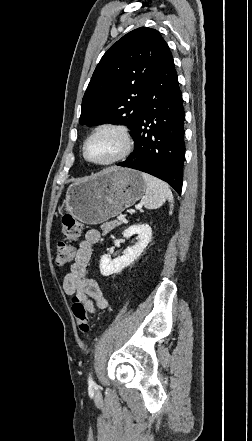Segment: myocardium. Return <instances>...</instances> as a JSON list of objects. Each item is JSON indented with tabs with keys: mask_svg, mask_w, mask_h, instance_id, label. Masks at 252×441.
Wrapping results in <instances>:
<instances>
[{
	"mask_svg": "<svg viewBox=\"0 0 252 441\" xmlns=\"http://www.w3.org/2000/svg\"><path fill=\"white\" fill-rule=\"evenodd\" d=\"M105 131H110L117 134L122 142L121 150L112 158L105 161H95L88 157L87 155V145L89 141L95 137L97 134ZM134 146L133 138L129 129L123 125L115 123H104L95 127L91 133L84 140L82 145V155L83 158L90 164L96 166H111L125 160L132 152Z\"/></svg>",
	"mask_w": 252,
	"mask_h": 441,
	"instance_id": "1",
	"label": "myocardium"
}]
</instances>
